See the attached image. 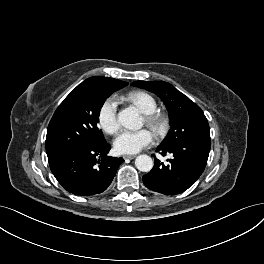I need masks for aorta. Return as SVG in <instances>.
<instances>
[{
	"label": "aorta",
	"instance_id": "aorta-1",
	"mask_svg": "<svg viewBox=\"0 0 264 264\" xmlns=\"http://www.w3.org/2000/svg\"><path fill=\"white\" fill-rule=\"evenodd\" d=\"M118 122L131 130H138L142 127V119L133 107H128L118 113ZM135 166L142 172H149L153 168V160L150 156L142 154L135 159Z\"/></svg>",
	"mask_w": 264,
	"mask_h": 264
}]
</instances>
